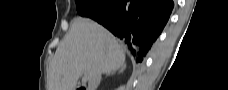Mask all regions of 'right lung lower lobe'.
Masks as SVG:
<instances>
[{
	"instance_id": "right-lung-lower-lobe-1",
	"label": "right lung lower lobe",
	"mask_w": 228,
	"mask_h": 90,
	"mask_svg": "<svg viewBox=\"0 0 228 90\" xmlns=\"http://www.w3.org/2000/svg\"><path fill=\"white\" fill-rule=\"evenodd\" d=\"M93 20L106 27L127 44L139 63L166 25L174 3L172 0H106Z\"/></svg>"
}]
</instances>
